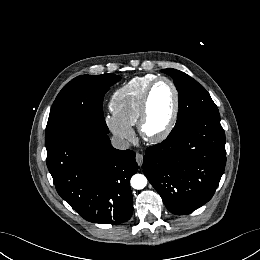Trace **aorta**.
Returning <instances> with one entry per match:
<instances>
[{"label": "aorta", "instance_id": "obj_1", "mask_svg": "<svg viewBox=\"0 0 260 260\" xmlns=\"http://www.w3.org/2000/svg\"><path fill=\"white\" fill-rule=\"evenodd\" d=\"M130 183L134 189L140 190L147 185V178L143 174H135L132 176Z\"/></svg>", "mask_w": 260, "mask_h": 260}]
</instances>
